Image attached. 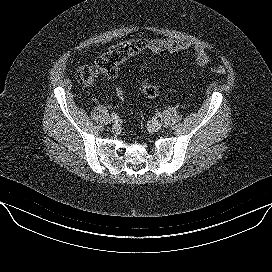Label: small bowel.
Listing matches in <instances>:
<instances>
[{"mask_svg": "<svg viewBox=\"0 0 272 272\" xmlns=\"http://www.w3.org/2000/svg\"><path fill=\"white\" fill-rule=\"evenodd\" d=\"M146 47L154 54H161L163 52L178 53L192 48V44L185 40L166 38L147 41ZM193 60L200 67H206L210 62V58L202 46H195L193 48Z\"/></svg>", "mask_w": 272, "mask_h": 272, "instance_id": "obj_1", "label": "small bowel"}]
</instances>
